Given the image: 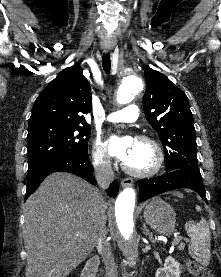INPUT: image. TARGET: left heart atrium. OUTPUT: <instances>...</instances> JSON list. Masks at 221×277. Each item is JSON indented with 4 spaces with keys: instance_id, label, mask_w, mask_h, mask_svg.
I'll return each mask as SVG.
<instances>
[{
    "instance_id": "1",
    "label": "left heart atrium",
    "mask_w": 221,
    "mask_h": 277,
    "mask_svg": "<svg viewBox=\"0 0 221 277\" xmlns=\"http://www.w3.org/2000/svg\"><path fill=\"white\" fill-rule=\"evenodd\" d=\"M134 143L135 140L131 137L113 136L110 139V152L117 159L125 161L129 157Z\"/></svg>"
}]
</instances>
